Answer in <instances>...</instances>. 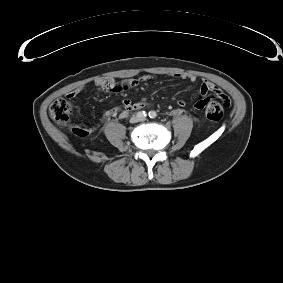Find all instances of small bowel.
Returning <instances> with one entry per match:
<instances>
[{"label": "small bowel", "instance_id": "c3829d8e", "mask_svg": "<svg viewBox=\"0 0 283 283\" xmlns=\"http://www.w3.org/2000/svg\"><path fill=\"white\" fill-rule=\"evenodd\" d=\"M175 78L187 80L191 83L196 82V76L187 73L175 74ZM152 79L151 76H142L138 80H130L126 82L124 85L116 84L112 79L103 78L99 79L95 82L96 89L99 92H110V93H122L128 88L135 87L139 83H145ZM85 89V86H79L66 94L67 98H75L80 92ZM220 93H223L215 84L205 81L201 84L199 89L200 98L194 103L193 107L196 110H204L207 106L213 101L212 96L218 97ZM148 105L146 101H139V102H131L129 100H124L121 108L119 109V113L122 117L128 115L131 111H137L140 109L145 108ZM186 105L185 101L179 100L178 106L184 107ZM118 110H106L102 113L101 121L104 122L109 118L117 115Z\"/></svg>", "mask_w": 283, "mask_h": 283}]
</instances>
